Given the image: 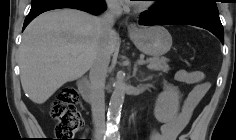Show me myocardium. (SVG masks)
<instances>
[{
    "instance_id": "f54148a6",
    "label": "myocardium",
    "mask_w": 236,
    "mask_h": 140,
    "mask_svg": "<svg viewBox=\"0 0 236 140\" xmlns=\"http://www.w3.org/2000/svg\"><path fill=\"white\" fill-rule=\"evenodd\" d=\"M149 6H150L149 3H141L137 6V9L138 10H144V9H147Z\"/></svg>"
}]
</instances>
